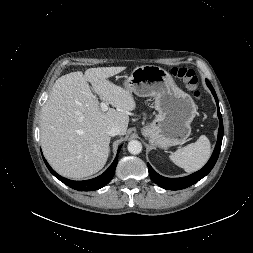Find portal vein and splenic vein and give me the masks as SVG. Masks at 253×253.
I'll return each mask as SVG.
<instances>
[{
	"label": "portal vein and splenic vein",
	"instance_id": "18ae733b",
	"mask_svg": "<svg viewBox=\"0 0 253 253\" xmlns=\"http://www.w3.org/2000/svg\"><path fill=\"white\" fill-rule=\"evenodd\" d=\"M100 106H101V109H102L103 112H106L108 110V105H107L106 102L102 101L100 103Z\"/></svg>",
	"mask_w": 253,
	"mask_h": 253
}]
</instances>
